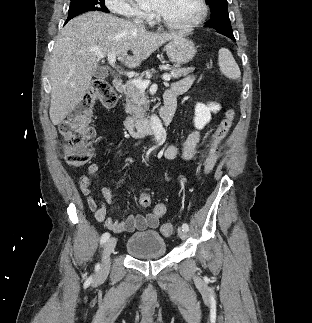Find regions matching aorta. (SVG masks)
I'll return each instance as SVG.
<instances>
[{
    "instance_id": "aorta-1",
    "label": "aorta",
    "mask_w": 312,
    "mask_h": 323,
    "mask_svg": "<svg viewBox=\"0 0 312 323\" xmlns=\"http://www.w3.org/2000/svg\"><path fill=\"white\" fill-rule=\"evenodd\" d=\"M150 126L156 142H162L165 130L162 126L161 120H159L157 116H151Z\"/></svg>"
}]
</instances>
